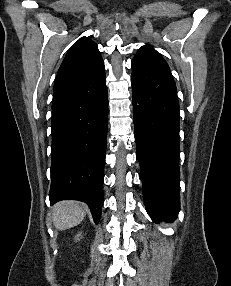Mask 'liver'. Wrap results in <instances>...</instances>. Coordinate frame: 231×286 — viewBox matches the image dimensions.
Wrapping results in <instances>:
<instances>
[{"label":"liver","mask_w":231,"mask_h":286,"mask_svg":"<svg viewBox=\"0 0 231 286\" xmlns=\"http://www.w3.org/2000/svg\"><path fill=\"white\" fill-rule=\"evenodd\" d=\"M86 211L87 206L78 201L58 202L53 206V224L58 230L72 228L84 219Z\"/></svg>","instance_id":"6515ba94"}]
</instances>
